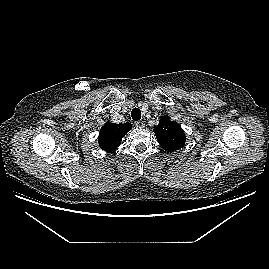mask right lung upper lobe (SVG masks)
Here are the masks:
<instances>
[{
	"label": "right lung upper lobe",
	"mask_w": 269,
	"mask_h": 269,
	"mask_svg": "<svg viewBox=\"0 0 269 269\" xmlns=\"http://www.w3.org/2000/svg\"><path fill=\"white\" fill-rule=\"evenodd\" d=\"M132 128L130 123L115 124L108 122L99 132V146L105 151H114L121 143L124 135Z\"/></svg>",
	"instance_id": "cb5924a9"
}]
</instances>
